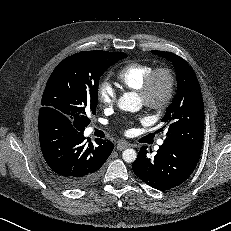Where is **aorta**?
Returning a JSON list of instances; mask_svg holds the SVG:
<instances>
[{
    "label": "aorta",
    "mask_w": 231,
    "mask_h": 231,
    "mask_svg": "<svg viewBox=\"0 0 231 231\" xmlns=\"http://www.w3.org/2000/svg\"><path fill=\"white\" fill-rule=\"evenodd\" d=\"M141 100L134 92L125 93L118 100V107L123 111L137 112L141 109ZM123 160L127 163H132L137 158V153L134 149H126L122 153Z\"/></svg>",
    "instance_id": "obj_1"
}]
</instances>
